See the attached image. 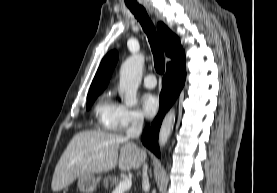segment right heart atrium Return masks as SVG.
Masks as SVG:
<instances>
[{"instance_id": "right-heart-atrium-1", "label": "right heart atrium", "mask_w": 277, "mask_h": 193, "mask_svg": "<svg viewBox=\"0 0 277 193\" xmlns=\"http://www.w3.org/2000/svg\"><path fill=\"white\" fill-rule=\"evenodd\" d=\"M143 117L141 113L124 104L117 105L115 114V124L118 130H126L130 127L142 124Z\"/></svg>"}]
</instances>
